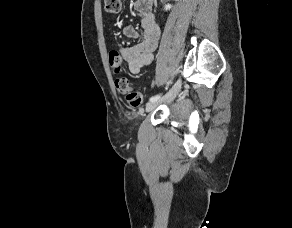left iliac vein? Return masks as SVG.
Listing matches in <instances>:
<instances>
[{
    "label": "left iliac vein",
    "mask_w": 292,
    "mask_h": 228,
    "mask_svg": "<svg viewBox=\"0 0 292 228\" xmlns=\"http://www.w3.org/2000/svg\"><path fill=\"white\" fill-rule=\"evenodd\" d=\"M180 88H181V79H178L176 83L173 85V87L170 89V91L163 98L154 102L147 103L145 110L149 112V111L154 110L160 104L168 103L172 101L176 97L178 92L180 91Z\"/></svg>",
    "instance_id": "left-iliac-vein-1"
}]
</instances>
